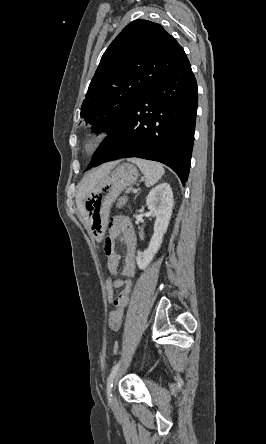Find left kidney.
Returning <instances> with one entry per match:
<instances>
[{
    "instance_id": "1",
    "label": "left kidney",
    "mask_w": 266,
    "mask_h": 444,
    "mask_svg": "<svg viewBox=\"0 0 266 444\" xmlns=\"http://www.w3.org/2000/svg\"><path fill=\"white\" fill-rule=\"evenodd\" d=\"M148 209L156 216L154 234L148 248L136 258L140 269H145L159 250L167 231L173 209V193L168 183L154 187L146 198Z\"/></svg>"
}]
</instances>
